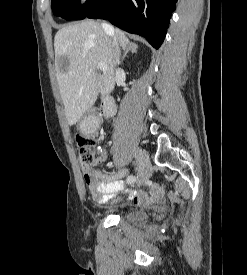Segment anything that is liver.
I'll list each match as a JSON object with an SVG mask.
<instances>
[{
    "label": "liver",
    "instance_id": "obj_1",
    "mask_svg": "<svg viewBox=\"0 0 247 275\" xmlns=\"http://www.w3.org/2000/svg\"><path fill=\"white\" fill-rule=\"evenodd\" d=\"M114 35L125 50L130 41L123 31L112 28L107 32L95 21L65 26L55 35L56 76L70 126L93 106L99 93L107 95L114 89L115 48L110 38ZM100 62L107 65L102 75L96 72Z\"/></svg>",
    "mask_w": 247,
    "mask_h": 275
}]
</instances>
